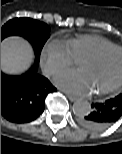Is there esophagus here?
Listing matches in <instances>:
<instances>
[{
  "mask_svg": "<svg viewBox=\"0 0 122 154\" xmlns=\"http://www.w3.org/2000/svg\"><path fill=\"white\" fill-rule=\"evenodd\" d=\"M65 94H66V96L68 97V99L70 100V101H72V102H74V101H76L78 98L77 97H75V96H73V95H71V94H69V93H66L65 92Z\"/></svg>",
  "mask_w": 122,
  "mask_h": 154,
  "instance_id": "1",
  "label": "esophagus"
}]
</instances>
